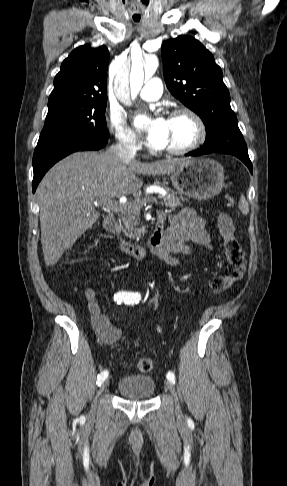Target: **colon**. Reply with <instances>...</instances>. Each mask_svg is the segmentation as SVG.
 Wrapping results in <instances>:
<instances>
[{
  "mask_svg": "<svg viewBox=\"0 0 287 486\" xmlns=\"http://www.w3.org/2000/svg\"><path fill=\"white\" fill-rule=\"evenodd\" d=\"M217 225L222 238L226 265L222 274L217 276L211 284V291L215 294L223 293L230 289L242 278L245 270L244 252L241 243L235 235L232 221L226 215H220ZM135 367L141 373H149L154 368V361L147 357L139 358L135 362Z\"/></svg>",
  "mask_w": 287,
  "mask_h": 486,
  "instance_id": "colon-1",
  "label": "colon"
}]
</instances>
